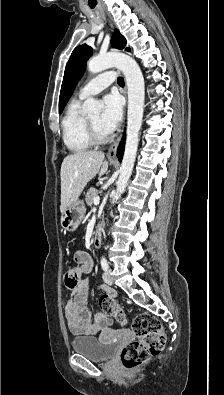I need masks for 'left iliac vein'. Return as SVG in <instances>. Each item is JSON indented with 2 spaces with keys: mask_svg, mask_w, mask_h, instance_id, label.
<instances>
[{
  "mask_svg": "<svg viewBox=\"0 0 224 395\" xmlns=\"http://www.w3.org/2000/svg\"><path fill=\"white\" fill-rule=\"evenodd\" d=\"M103 280L106 284L112 285L113 284V279L111 277L110 271H105L103 274Z\"/></svg>",
  "mask_w": 224,
  "mask_h": 395,
  "instance_id": "obj_1",
  "label": "left iliac vein"
}]
</instances>
